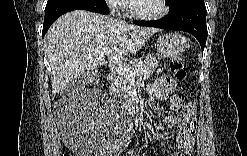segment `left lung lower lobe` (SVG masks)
<instances>
[{"instance_id":"1","label":"left lung lower lobe","mask_w":247,"mask_h":156,"mask_svg":"<svg viewBox=\"0 0 247 156\" xmlns=\"http://www.w3.org/2000/svg\"><path fill=\"white\" fill-rule=\"evenodd\" d=\"M206 7L204 0H186L178 9L157 21H134L139 26L189 32L199 41L202 51L207 40Z\"/></svg>"}]
</instances>
